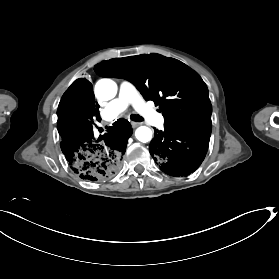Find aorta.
Listing matches in <instances>:
<instances>
[{
	"label": "aorta",
	"mask_w": 279,
	"mask_h": 279,
	"mask_svg": "<svg viewBox=\"0 0 279 279\" xmlns=\"http://www.w3.org/2000/svg\"><path fill=\"white\" fill-rule=\"evenodd\" d=\"M94 92L100 100H111L117 94V84L109 78L101 79L96 83ZM135 136L140 142L147 143L152 139V131L149 127L140 126L136 129Z\"/></svg>",
	"instance_id": "762f6f07"
}]
</instances>
